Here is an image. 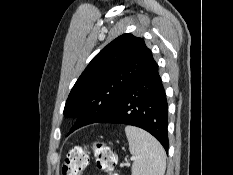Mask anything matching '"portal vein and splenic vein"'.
<instances>
[{"label":"portal vein and splenic vein","mask_w":233,"mask_h":175,"mask_svg":"<svg viewBox=\"0 0 233 175\" xmlns=\"http://www.w3.org/2000/svg\"><path fill=\"white\" fill-rule=\"evenodd\" d=\"M133 160H135V158H134V157H132V158H131V161H133Z\"/></svg>","instance_id":"18ae733b"}]
</instances>
